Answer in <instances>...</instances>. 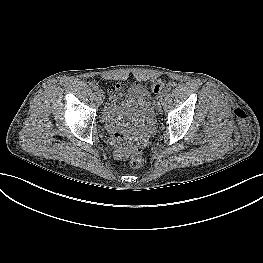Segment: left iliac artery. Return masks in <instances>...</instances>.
Instances as JSON below:
<instances>
[{"instance_id": "1", "label": "left iliac artery", "mask_w": 263, "mask_h": 263, "mask_svg": "<svg viewBox=\"0 0 263 263\" xmlns=\"http://www.w3.org/2000/svg\"><path fill=\"white\" fill-rule=\"evenodd\" d=\"M158 95H159L160 97H163V96L165 95V92H164L163 90H160V91L158 92Z\"/></svg>"}]
</instances>
